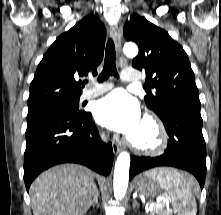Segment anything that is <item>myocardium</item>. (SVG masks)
Segmentation results:
<instances>
[{"mask_svg":"<svg viewBox=\"0 0 221 215\" xmlns=\"http://www.w3.org/2000/svg\"><path fill=\"white\" fill-rule=\"evenodd\" d=\"M151 130L152 137L148 143H140L133 137L128 138L130 147L139 154L155 155L164 150L167 145V131L159 118L152 114H146L142 121Z\"/></svg>","mask_w":221,"mask_h":215,"instance_id":"obj_1","label":"myocardium"}]
</instances>
